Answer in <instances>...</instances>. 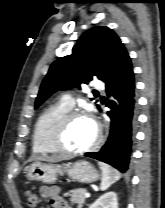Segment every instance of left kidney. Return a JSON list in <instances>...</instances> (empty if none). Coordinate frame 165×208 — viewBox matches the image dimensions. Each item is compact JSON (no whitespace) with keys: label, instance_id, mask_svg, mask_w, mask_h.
Masks as SVG:
<instances>
[{"label":"left kidney","instance_id":"1","mask_svg":"<svg viewBox=\"0 0 165 208\" xmlns=\"http://www.w3.org/2000/svg\"><path fill=\"white\" fill-rule=\"evenodd\" d=\"M89 208H118L117 194L113 191L107 192L99 197Z\"/></svg>","mask_w":165,"mask_h":208}]
</instances>
